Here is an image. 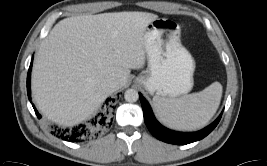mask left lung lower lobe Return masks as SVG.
Returning <instances> with one entry per match:
<instances>
[{"label": "left lung lower lobe", "mask_w": 267, "mask_h": 166, "mask_svg": "<svg viewBox=\"0 0 267 166\" xmlns=\"http://www.w3.org/2000/svg\"><path fill=\"white\" fill-rule=\"evenodd\" d=\"M144 121L149 131L159 140L176 145H186L206 137L218 124L222 114L206 128L191 133H183L169 130L162 126L154 117L152 109L145 98L139 93Z\"/></svg>", "instance_id": "left-lung-lower-lobe-1"}]
</instances>
